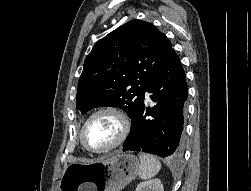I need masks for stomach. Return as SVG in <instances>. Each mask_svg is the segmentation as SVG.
Segmentation results:
<instances>
[{
	"mask_svg": "<svg viewBox=\"0 0 251 191\" xmlns=\"http://www.w3.org/2000/svg\"><path fill=\"white\" fill-rule=\"evenodd\" d=\"M138 157L132 153L101 155L92 163H69L60 181V191H120L139 173Z\"/></svg>",
	"mask_w": 251,
	"mask_h": 191,
	"instance_id": "stomach-1",
	"label": "stomach"
}]
</instances>
